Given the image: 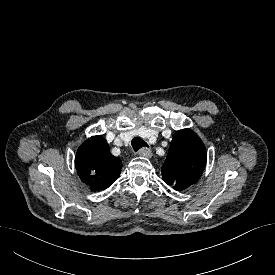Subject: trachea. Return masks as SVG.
<instances>
[{"label":"trachea","mask_w":275,"mask_h":275,"mask_svg":"<svg viewBox=\"0 0 275 275\" xmlns=\"http://www.w3.org/2000/svg\"><path fill=\"white\" fill-rule=\"evenodd\" d=\"M131 144H132L134 151H138L142 147H148V144L144 140H142L140 137H135L132 140Z\"/></svg>","instance_id":"obj_1"}]
</instances>
